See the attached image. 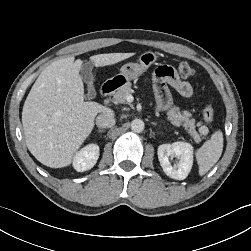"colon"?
<instances>
[{
    "mask_svg": "<svg viewBox=\"0 0 251 251\" xmlns=\"http://www.w3.org/2000/svg\"><path fill=\"white\" fill-rule=\"evenodd\" d=\"M177 72L182 78H189L194 75L193 67L187 62H179L177 66ZM204 120L208 125H211L214 119V110L210 104H207L203 110Z\"/></svg>",
    "mask_w": 251,
    "mask_h": 251,
    "instance_id": "obj_1",
    "label": "colon"
}]
</instances>
